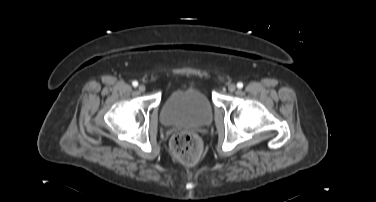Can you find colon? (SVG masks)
<instances>
[{
    "instance_id": "obj_1",
    "label": "colon",
    "mask_w": 376,
    "mask_h": 202,
    "mask_svg": "<svg viewBox=\"0 0 376 202\" xmlns=\"http://www.w3.org/2000/svg\"><path fill=\"white\" fill-rule=\"evenodd\" d=\"M170 149L178 161L189 164L200 158L203 144L195 133L181 131L171 138Z\"/></svg>"
}]
</instances>
